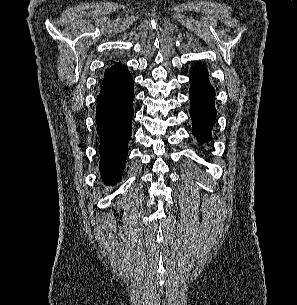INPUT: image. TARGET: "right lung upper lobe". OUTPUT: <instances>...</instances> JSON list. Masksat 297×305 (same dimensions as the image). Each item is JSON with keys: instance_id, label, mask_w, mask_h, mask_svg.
<instances>
[{"instance_id": "obj_1", "label": "right lung upper lobe", "mask_w": 297, "mask_h": 305, "mask_svg": "<svg viewBox=\"0 0 297 305\" xmlns=\"http://www.w3.org/2000/svg\"><path fill=\"white\" fill-rule=\"evenodd\" d=\"M121 66H123V65H121V63H115L113 66H111V68H108L107 70H105V75L115 71L116 69H118Z\"/></svg>"}]
</instances>
